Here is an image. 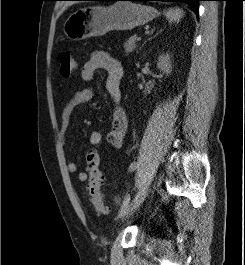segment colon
Returning <instances> with one entry per match:
<instances>
[{
	"mask_svg": "<svg viewBox=\"0 0 245 265\" xmlns=\"http://www.w3.org/2000/svg\"><path fill=\"white\" fill-rule=\"evenodd\" d=\"M60 73L64 77L71 76L76 70V61L69 51H64L59 55ZM86 170L88 173V192L92 203L98 213H107L108 207L104 204L101 193L103 180L102 172L99 168V154L95 148H91L86 154Z\"/></svg>",
	"mask_w": 245,
	"mask_h": 265,
	"instance_id": "5ec220e1",
	"label": "colon"
}]
</instances>
